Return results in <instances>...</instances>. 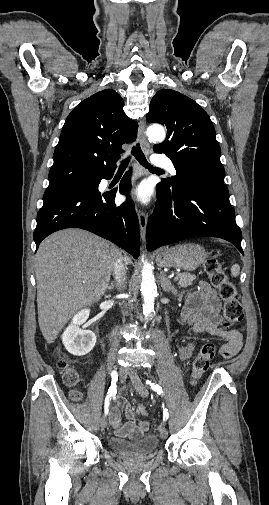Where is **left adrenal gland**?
<instances>
[{"mask_svg": "<svg viewBox=\"0 0 269 505\" xmlns=\"http://www.w3.org/2000/svg\"><path fill=\"white\" fill-rule=\"evenodd\" d=\"M160 282L164 292H171L172 294H177L175 286L172 284L171 280L166 277V274L164 272H161Z\"/></svg>", "mask_w": 269, "mask_h": 505, "instance_id": "left-adrenal-gland-1", "label": "left adrenal gland"}]
</instances>
